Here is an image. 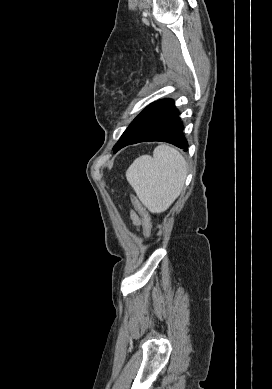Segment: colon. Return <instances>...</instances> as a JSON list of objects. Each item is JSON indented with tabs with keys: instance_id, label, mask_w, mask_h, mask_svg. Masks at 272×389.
Wrapping results in <instances>:
<instances>
[{
	"instance_id": "colon-1",
	"label": "colon",
	"mask_w": 272,
	"mask_h": 389,
	"mask_svg": "<svg viewBox=\"0 0 272 389\" xmlns=\"http://www.w3.org/2000/svg\"><path fill=\"white\" fill-rule=\"evenodd\" d=\"M134 205H135V208H136V210L141 218V221H142V224L144 227V231H145V236L149 238L151 236L152 230H153L151 217H150L149 213L147 212V210L142 206V204L136 198H134Z\"/></svg>"
}]
</instances>
